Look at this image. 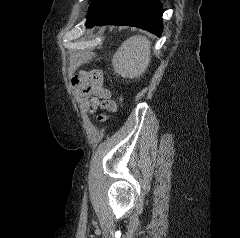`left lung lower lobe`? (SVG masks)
Instances as JSON below:
<instances>
[{"instance_id": "0a47b994", "label": "left lung lower lobe", "mask_w": 240, "mask_h": 238, "mask_svg": "<svg viewBox=\"0 0 240 238\" xmlns=\"http://www.w3.org/2000/svg\"><path fill=\"white\" fill-rule=\"evenodd\" d=\"M162 14L159 0H93L86 25H128L160 36L163 31Z\"/></svg>"}]
</instances>
